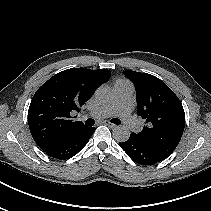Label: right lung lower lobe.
I'll return each mask as SVG.
<instances>
[{
    "label": "right lung lower lobe",
    "mask_w": 211,
    "mask_h": 211,
    "mask_svg": "<svg viewBox=\"0 0 211 211\" xmlns=\"http://www.w3.org/2000/svg\"><path fill=\"white\" fill-rule=\"evenodd\" d=\"M95 131L94 127H86L68 134L56 142L52 147L43 150L49 157L55 159H69L76 155L87 144Z\"/></svg>",
    "instance_id": "right-lung-lower-lobe-1"
}]
</instances>
